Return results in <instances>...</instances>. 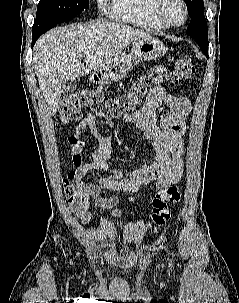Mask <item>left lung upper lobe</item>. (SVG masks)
I'll use <instances>...</instances> for the list:
<instances>
[{
    "mask_svg": "<svg viewBox=\"0 0 239 303\" xmlns=\"http://www.w3.org/2000/svg\"><path fill=\"white\" fill-rule=\"evenodd\" d=\"M191 21L187 28V34L195 39L198 44L208 46L207 22L204 16L203 0H184Z\"/></svg>",
    "mask_w": 239,
    "mask_h": 303,
    "instance_id": "obj_1",
    "label": "left lung upper lobe"
}]
</instances>
